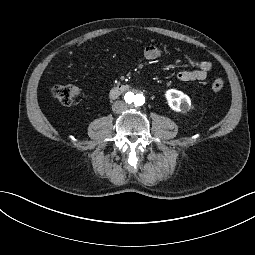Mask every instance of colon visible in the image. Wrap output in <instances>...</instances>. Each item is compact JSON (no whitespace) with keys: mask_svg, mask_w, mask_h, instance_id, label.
Returning a JSON list of instances; mask_svg holds the SVG:
<instances>
[{"mask_svg":"<svg viewBox=\"0 0 255 255\" xmlns=\"http://www.w3.org/2000/svg\"><path fill=\"white\" fill-rule=\"evenodd\" d=\"M224 87L222 79H215L211 83L213 92H219ZM51 95L64 105H71L76 101L79 94V89L74 85H55L50 88Z\"/></svg>","mask_w":255,"mask_h":255,"instance_id":"5ec220e1","label":"colon"}]
</instances>
